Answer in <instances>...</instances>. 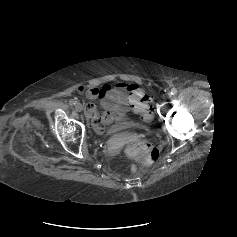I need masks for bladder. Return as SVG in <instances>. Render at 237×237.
I'll return each mask as SVG.
<instances>
[{"instance_id": "bladder-1", "label": "bladder", "mask_w": 237, "mask_h": 237, "mask_svg": "<svg viewBox=\"0 0 237 237\" xmlns=\"http://www.w3.org/2000/svg\"><path fill=\"white\" fill-rule=\"evenodd\" d=\"M129 123H130V121L125 124H115L113 130H116V129L123 127V126H127V125H129Z\"/></svg>"}]
</instances>
